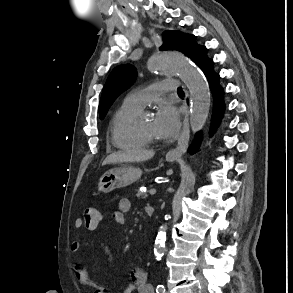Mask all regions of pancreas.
I'll use <instances>...</instances> for the list:
<instances>
[{
    "label": "pancreas",
    "instance_id": "1",
    "mask_svg": "<svg viewBox=\"0 0 293 293\" xmlns=\"http://www.w3.org/2000/svg\"><path fill=\"white\" fill-rule=\"evenodd\" d=\"M136 196L138 197V198H143V199H145V198H147L148 197V194H147V192H137V194H136Z\"/></svg>",
    "mask_w": 293,
    "mask_h": 293
}]
</instances>
